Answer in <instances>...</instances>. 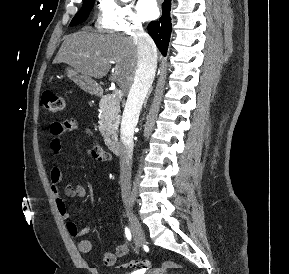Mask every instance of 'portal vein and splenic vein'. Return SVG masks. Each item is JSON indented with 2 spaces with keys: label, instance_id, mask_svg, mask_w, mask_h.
Segmentation results:
<instances>
[{
  "label": "portal vein and splenic vein",
  "instance_id": "18ae733b",
  "mask_svg": "<svg viewBox=\"0 0 289 274\" xmlns=\"http://www.w3.org/2000/svg\"><path fill=\"white\" fill-rule=\"evenodd\" d=\"M113 97L121 100L122 97H123V93H122V90L120 89H116L114 92H113Z\"/></svg>",
  "mask_w": 289,
  "mask_h": 274
}]
</instances>
